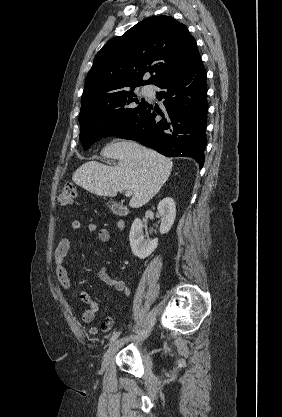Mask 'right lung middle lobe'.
I'll list each match as a JSON object with an SVG mask.
<instances>
[{
    "instance_id": "1",
    "label": "right lung middle lobe",
    "mask_w": 282,
    "mask_h": 417,
    "mask_svg": "<svg viewBox=\"0 0 282 417\" xmlns=\"http://www.w3.org/2000/svg\"><path fill=\"white\" fill-rule=\"evenodd\" d=\"M135 88L102 93L81 101L80 141L84 150L104 137L127 129L148 106L134 92Z\"/></svg>"
}]
</instances>
